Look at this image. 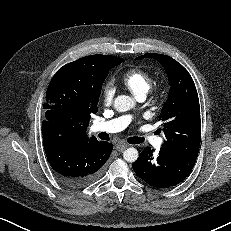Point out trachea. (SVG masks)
<instances>
[{"mask_svg": "<svg viewBox=\"0 0 231 231\" xmlns=\"http://www.w3.org/2000/svg\"><path fill=\"white\" fill-rule=\"evenodd\" d=\"M103 140H109V137L103 139ZM127 142L130 144H140L142 142H144V138L141 137H129L127 139Z\"/></svg>", "mask_w": 231, "mask_h": 231, "instance_id": "obj_1", "label": "trachea"}]
</instances>
